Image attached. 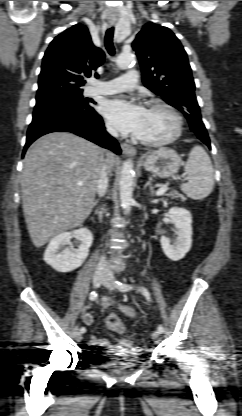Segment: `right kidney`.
<instances>
[{
  "mask_svg": "<svg viewBox=\"0 0 242 416\" xmlns=\"http://www.w3.org/2000/svg\"><path fill=\"white\" fill-rule=\"evenodd\" d=\"M72 237L80 241L78 249L65 248L60 251L61 246L69 244ZM92 242L93 235L87 228L63 232L50 241L44 253V261L58 272H71L83 264Z\"/></svg>",
  "mask_w": 242,
  "mask_h": 416,
  "instance_id": "ca27d5eb",
  "label": "right kidney"
}]
</instances>
